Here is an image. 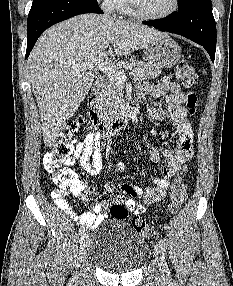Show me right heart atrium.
Listing matches in <instances>:
<instances>
[{"label":"right heart atrium","mask_w":233,"mask_h":286,"mask_svg":"<svg viewBox=\"0 0 233 286\" xmlns=\"http://www.w3.org/2000/svg\"><path fill=\"white\" fill-rule=\"evenodd\" d=\"M102 2V6L106 11H113L118 0H100Z\"/></svg>","instance_id":"obj_1"}]
</instances>
